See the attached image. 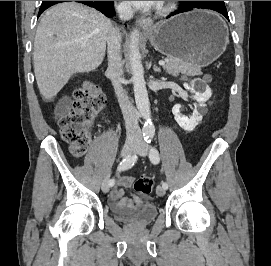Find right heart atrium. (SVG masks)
<instances>
[{
    "label": "right heart atrium",
    "instance_id": "d8ad5b80",
    "mask_svg": "<svg viewBox=\"0 0 271 266\" xmlns=\"http://www.w3.org/2000/svg\"><path fill=\"white\" fill-rule=\"evenodd\" d=\"M119 8H120V10H122V11H127V10H128V7H127L124 3H121V4L119 5Z\"/></svg>",
    "mask_w": 271,
    "mask_h": 266
}]
</instances>
